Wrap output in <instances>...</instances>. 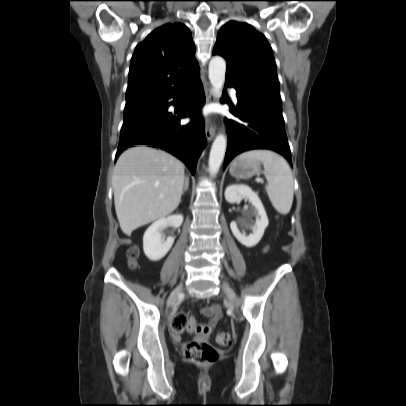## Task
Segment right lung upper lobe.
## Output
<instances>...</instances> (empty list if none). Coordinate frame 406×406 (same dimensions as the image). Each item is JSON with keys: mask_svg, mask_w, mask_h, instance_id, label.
<instances>
[{"mask_svg": "<svg viewBox=\"0 0 406 406\" xmlns=\"http://www.w3.org/2000/svg\"><path fill=\"white\" fill-rule=\"evenodd\" d=\"M195 45L182 23H168L139 43L131 59L126 106L162 99L199 76Z\"/></svg>", "mask_w": 406, "mask_h": 406, "instance_id": "1", "label": "right lung upper lobe"}]
</instances>
